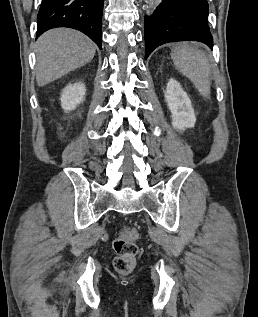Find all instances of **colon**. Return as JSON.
Here are the masks:
<instances>
[{"instance_id":"colon-1","label":"colon","mask_w":258,"mask_h":317,"mask_svg":"<svg viewBox=\"0 0 258 317\" xmlns=\"http://www.w3.org/2000/svg\"><path fill=\"white\" fill-rule=\"evenodd\" d=\"M139 231L135 226H124L113 242L116 254L114 267L120 272H127L134 268L138 254L137 240Z\"/></svg>"}]
</instances>
